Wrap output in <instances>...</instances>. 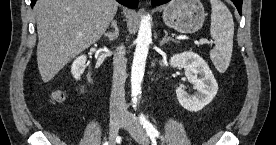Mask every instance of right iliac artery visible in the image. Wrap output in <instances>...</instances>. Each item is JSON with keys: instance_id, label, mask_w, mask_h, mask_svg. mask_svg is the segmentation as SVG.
Returning a JSON list of instances; mask_svg holds the SVG:
<instances>
[{"instance_id": "82829eb1", "label": "right iliac artery", "mask_w": 276, "mask_h": 145, "mask_svg": "<svg viewBox=\"0 0 276 145\" xmlns=\"http://www.w3.org/2000/svg\"><path fill=\"white\" fill-rule=\"evenodd\" d=\"M104 145H108V142H105Z\"/></svg>"}]
</instances>
